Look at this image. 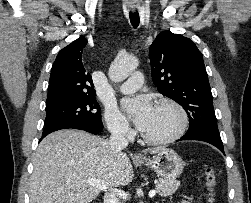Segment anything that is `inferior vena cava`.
I'll list each match as a JSON object with an SVG mask.
<instances>
[{
    "instance_id": "inferior-vena-cava-1",
    "label": "inferior vena cava",
    "mask_w": 251,
    "mask_h": 203,
    "mask_svg": "<svg viewBox=\"0 0 251 203\" xmlns=\"http://www.w3.org/2000/svg\"><path fill=\"white\" fill-rule=\"evenodd\" d=\"M126 128L119 126L112 130L109 146L114 153L118 154L122 152L124 148L128 146V141L125 136ZM104 203H119L114 193H106L104 196Z\"/></svg>"
}]
</instances>
